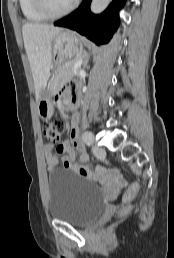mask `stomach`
Returning <instances> with one entry per match:
<instances>
[{
  "label": "stomach",
  "instance_id": "stomach-1",
  "mask_svg": "<svg viewBox=\"0 0 174 258\" xmlns=\"http://www.w3.org/2000/svg\"><path fill=\"white\" fill-rule=\"evenodd\" d=\"M81 42L76 34L62 30L53 40V55L58 62L71 59L80 52ZM52 82L45 85L37 98L38 114L42 119L50 118L54 113L52 102Z\"/></svg>",
  "mask_w": 174,
  "mask_h": 258
}]
</instances>
